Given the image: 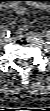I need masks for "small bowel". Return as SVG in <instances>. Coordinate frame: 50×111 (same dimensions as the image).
Here are the masks:
<instances>
[{"label": "small bowel", "mask_w": 50, "mask_h": 111, "mask_svg": "<svg viewBox=\"0 0 50 111\" xmlns=\"http://www.w3.org/2000/svg\"><path fill=\"white\" fill-rule=\"evenodd\" d=\"M15 12H16L17 14H19V15H24V14L27 13V9H26L25 7H23V6H17V7L15 8ZM26 30H27V26H26V25H23V26H21V27L19 28V31H20V32H25Z\"/></svg>", "instance_id": "obj_1"}]
</instances>
